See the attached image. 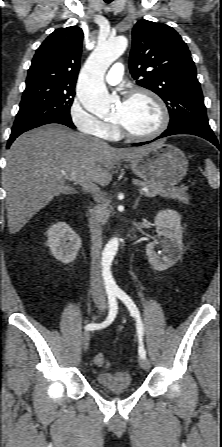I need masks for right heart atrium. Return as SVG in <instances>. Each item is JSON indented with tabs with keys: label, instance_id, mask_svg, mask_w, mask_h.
Masks as SVG:
<instances>
[{
	"label": "right heart atrium",
	"instance_id": "d8ad5b80",
	"mask_svg": "<svg viewBox=\"0 0 222 447\" xmlns=\"http://www.w3.org/2000/svg\"><path fill=\"white\" fill-rule=\"evenodd\" d=\"M84 104L82 97L72 104L69 112L72 123L82 133L103 137L113 125L89 113Z\"/></svg>",
	"mask_w": 222,
	"mask_h": 447
}]
</instances>
